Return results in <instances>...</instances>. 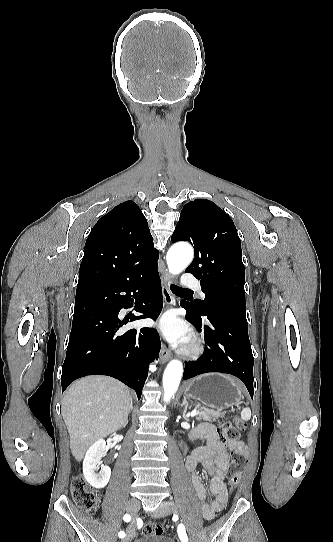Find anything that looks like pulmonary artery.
Listing matches in <instances>:
<instances>
[{"mask_svg": "<svg viewBox=\"0 0 333 542\" xmlns=\"http://www.w3.org/2000/svg\"><path fill=\"white\" fill-rule=\"evenodd\" d=\"M182 279V285L184 288L194 290L200 289V284L196 283L197 276L194 273H188ZM200 297L203 299L205 297V294L203 292H200Z\"/></svg>", "mask_w": 333, "mask_h": 542, "instance_id": "pulmonary-artery-1", "label": "pulmonary artery"}]
</instances>
